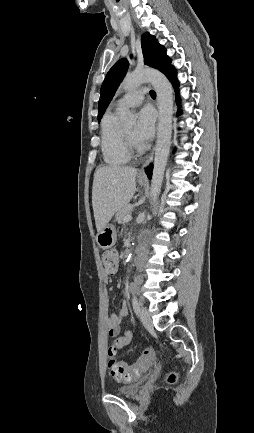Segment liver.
Instances as JSON below:
<instances>
[{
  "mask_svg": "<svg viewBox=\"0 0 254 433\" xmlns=\"http://www.w3.org/2000/svg\"><path fill=\"white\" fill-rule=\"evenodd\" d=\"M136 175L137 169L125 166H101L96 170L92 206L98 232L130 202L136 190Z\"/></svg>",
  "mask_w": 254,
  "mask_h": 433,
  "instance_id": "6515ba94",
  "label": "liver"
}]
</instances>
